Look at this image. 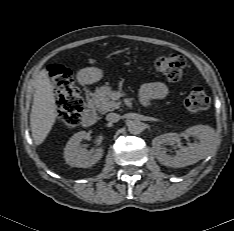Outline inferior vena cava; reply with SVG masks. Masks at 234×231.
I'll list each match as a JSON object with an SVG mask.
<instances>
[{"label": "inferior vena cava", "mask_w": 234, "mask_h": 231, "mask_svg": "<svg viewBox=\"0 0 234 231\" xmlns=\"http://www.w3.org/2000/svg\"><path fill=\"white\" fill-rule=\"evenodd\" d=\"M106 120L109 121V122H117L120 120V115L117 114V113H109L107 114L106 116Z\"/></svg>", "instance_id": "obj_1"}]
</instances>
